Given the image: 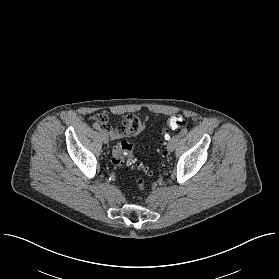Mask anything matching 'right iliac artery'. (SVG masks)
<instances>
[{"label":"right iliac artery","instance_id":"obj_1","mask_svg":"<svg viewBox=\"0 0 279 279\" xmlns=\"http://www.w3.org/2000/svg\"><path fill=\"white\" fill-rule=\"evenodd\" d=\"M92 126H93V128H94V129L101 130L100 125H99L98 123H96V122H95V123H93V125H92Z\"/></svg>","mask_w":279,"mask_h":279}]
</instances>
